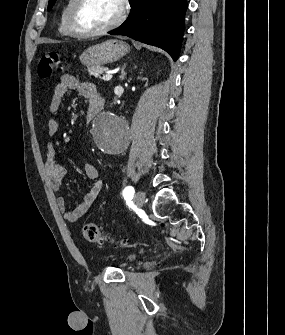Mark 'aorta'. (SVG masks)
Returning a JSON list of instances; mask_svg holds the SVG:
<instances>
[{
	"instance_id": "762f6f07",
	"label": "aorta",
	"mask_w": 285,
	"mask_h": 335,
	"mask_svg": "<svg viewBox=\"0 0 285 335\" xmlns=\"http://www.w3.org/2000/svg\"><path fill=\"white\" fill-rule=\"evenodd\" d=\"M98 119H91L89 134L94 137V147H101L105 156H116L126 152L131 130L124 119H117V112H98Z\"/></svg>"
}]
</instances>
